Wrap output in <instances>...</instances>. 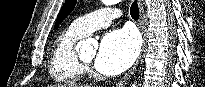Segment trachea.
Here are the masks:
<instances>
[{
  "mask_svg": "<svg viewBox=\"0 0 205 87\" xmlns=\"http://www.w3.org/2000/svg\"><path fill=\"white\" fill-rule=\"evenodd\" d=\"M130 14H131V17L133 19L138 20V18H139V7H138V4H137V1H134L131 4Z\"/></svg>",
  "mask_w": 205,
  "mask_h": 87,
  "instance_id": "obj_1",
  "label": "trachea"
}]
</instances>
